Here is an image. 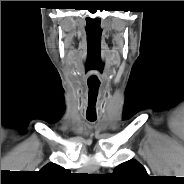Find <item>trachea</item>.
Listing matches in <instances>:
<instances>
[{"label": "trachea", "mask_w": 184, "mask_h": 184, "mask_svg": "<svg viewBox=\"0 0 184 184\" xmlns=\"http://www.w3.org/2000/svg\"><path fill=\"white\" fill-rule=\"evenodd\" d=\"M89 121H95L96 119L94 118H87Z\"/></svg>", "instance_id": "trachea-1"}]
</instances>
